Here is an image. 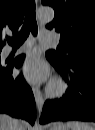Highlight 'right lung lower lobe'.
<instances>
[{
  "instance_id": "obj_1",
  "label": "right lung lower lobe",
  "mask_w": 95,
  "mask_h": 130,
  "mask_svg": "<svg viewBox=\"0 0 95 130\" xmlns=\"http://www.w3.org/2000/svg\"><path fill=\"white\" fill-rule=\"evenodd\" d=\"M24 56L16 59L14 65L20 67ZM13 65L0 68V112L23 118L31 124L35 121V101L30 87L22 75L13 79Z\"/></svg>"
}]
</instances>
